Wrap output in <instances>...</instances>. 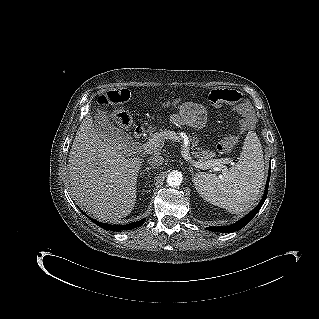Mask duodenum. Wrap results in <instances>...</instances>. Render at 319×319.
<instances>
[{"label": "duodenum", "instance_id": "obj_1", "mask_svg": "<svg viewBox=\"0 0 319 319\" xmlns=\"http://www.w3.org/2000/svg\"><path fill=\"white\" fill-rule=\"evenodd\" d=\"M144 133H145V128L143 126H137L133 133L134 138L136 140H140L144 136Z\"/></svg>", "mask_w": 319, "mask_h": 319}]
</instances>
